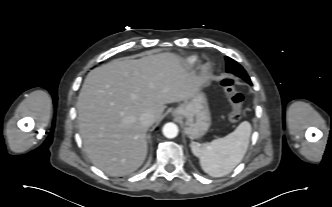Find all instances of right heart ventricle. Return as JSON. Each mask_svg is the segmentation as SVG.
Listing matches in <instances>:
<instances>
[{"mask_svg":"<svg viewBox=\"0 0 332 207\" xmlns=\"http://www.w3.org/2000/svg\"><path fill=\"white\" fill-rule=\"evenodd\" d=\"M195 60H196V58H195V57H192V58L189 59V62L192 64V63L195 62Z\"/></svg>","mask_w":332,"mask_h":207,"instance_id":"right-heart-ventricle-1","label":"right heart ventricle"}]
</instances>
